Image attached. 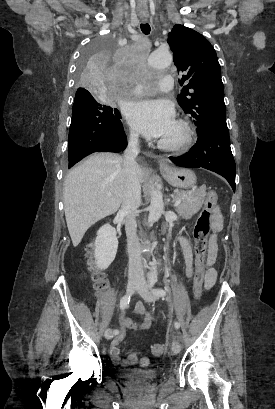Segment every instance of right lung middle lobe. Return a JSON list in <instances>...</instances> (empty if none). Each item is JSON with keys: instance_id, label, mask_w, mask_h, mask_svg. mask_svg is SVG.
<instances>
[{"instance_id": "obj_1", "label": "right lung middle lobe", "mask_w": 275, "mask_h": 409, "mask_svg": "<svg viewBox=\"0 0 275 409\" xmlns=\"http://www.w3.org/2000/svg\"><path fill=\"white\" fill-rule=\"evenodd\" d=\"M119 36H94L88 50L79 57L76 72V92L68 137V164L62 167L61 177L67 178L73 165L93 152H120L127 146V138L120 121L122 96H107L104 91H126V82H119L114 70L118 58ZM148 168L147 160L134 164Z\"/></svg>"}]
</instances>
